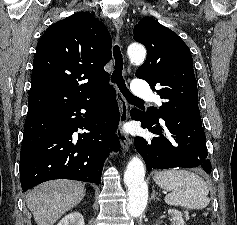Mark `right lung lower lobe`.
Instances as JSON below:
<instances>
[{
	"label": "right lung lower lobe",
	"instance_id": "obj_1",
	"mask_svg": "<svg viewBox=\"0 0 237 225\" xmlns=\"http://www.w3.org/2000/svg\"><path fill=\"white\" fill-rule=\"evenodd\" d=\"M118 123L116 93L110 85L69 104L28 112L20 154L22 190L52 179L99 185L108 149H120L114 134ZM77 128L86 132L75 134Z\"/></svg>",
	"mask_w": 237,
	"mask_h": 225
}]
</instances>
